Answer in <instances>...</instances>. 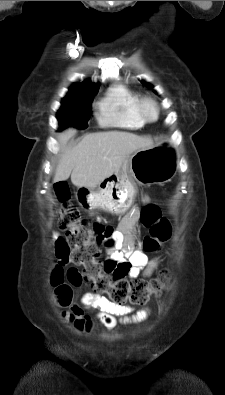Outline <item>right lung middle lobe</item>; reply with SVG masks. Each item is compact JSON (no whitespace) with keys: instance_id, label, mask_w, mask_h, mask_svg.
I'll list each match as a JSON object with an SVG mask.
<instances>
[{"instance_id":"right-lung-middle-lobe-1","label":"right lung middle lobe","mask_w":225,"mask_h":395,"mask_svg":"<svg viewBox=\"0 0 225 395\" xmlns=\"http://www.w3.org/2000/svg\"><path fill=\"white\" fill-rule=\"evenodd\" d=\"M96 93L92 95L67 94L57 113L60 128L68 126L77 128L88 127L90 104Z\"/></svg>"}]
</instances>
